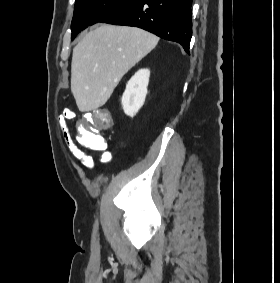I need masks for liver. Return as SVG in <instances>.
Wrapping results in <instances>:
<instances>
[{
    "mask_svg": "<svg viewBox=\"0 0 280 283\" xmlns=\"http://www.w3.org/2000/svg\"><path fill=\"white\" fill-rule=\"evenodd\" d=\"M159 38L136 27L101 24L74 47L71 91L81 112L103 106L122 77Z\"/></svg>",
    "mask_w": 280,
    "mask_h": 283,
    "instance_id": "6515ba94",
    "label": "liver"
}]
</instances>
